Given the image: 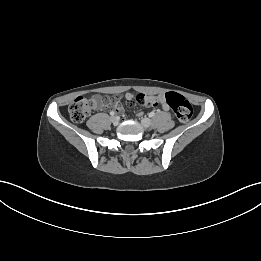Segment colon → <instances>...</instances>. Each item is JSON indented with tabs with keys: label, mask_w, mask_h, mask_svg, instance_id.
<instances>
[{
	"label": "colon",
	"mask_w": 261,
	"mask_h": 261,
	"mask_svg": "<svg viewBox=\"0 0 261 261\" xmlns=\"http://www.w3.org/2000/svg\"><path fill=\"white\" fill-rule=\"evenodd\" d=\"M164 98L179 121L187 122L190 120L193 108L185 97L176 92H168L164 95ZM93 107L94 102L92 99L78 97L69 106L70 118L76 123H81L89 116Z\"/></svg>",
	"instance_id": "obj_1"
}]
</instances>
